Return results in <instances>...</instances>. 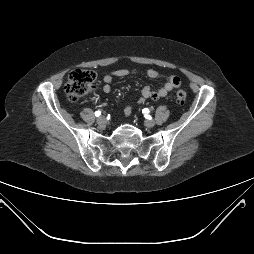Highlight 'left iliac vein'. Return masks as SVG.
Instances as JSON below:
<instances>
[{
	"mask_svg": "<svg viewBox=\"0 0 254 254\" xmlns=\"http://www.w3.org/2000/svg\"><path fill=\"white\" fill-rule=\"evenodd\" d=\"M144 125H145L147 128H152V127H154V125H155V121H154V120H145Z\"/></svg>",
	"mask_w": 254,
	"mask_h": 254,
	"instance_id": "obj_1",
	"label": "left iliac vein"
}]
</instances>
